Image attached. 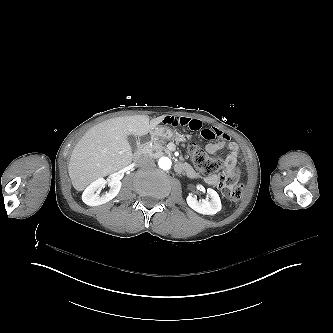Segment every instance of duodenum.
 Returning <instances> with one entry per match:
<instances>
[{"instance_id": "410a0bca", "label": "duodenum", "mask_w": 333, "mask_h": 333, "mask_svg": "<svg viewBox=\"0 0 333 333\" xmlns=\"http://www.w3.org/2000/svg\"><path fill=\"white\" fill-rule=\"evenodd\" d=\"M150 135H151V132H149V131L144 133L143 135H141V137L139 139L138 149H137V151L135 152V155H134V157L136 159H138L143 154V152L146 148V145L148 143V140L150 138ZM175 168L178 172H184L190 177H196L197 176V174L193 170V168L190 167L189 165L185 164V163L178 162L175 165Z\"/></svg>"}]
</instances>
